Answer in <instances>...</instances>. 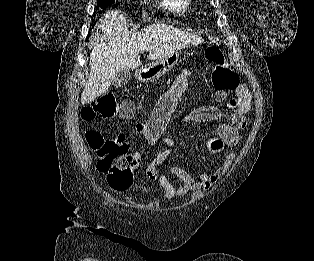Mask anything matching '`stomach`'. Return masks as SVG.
Returning <instances> with one entry per match:
<instances>
[{"mask_svg": "<svg viewBox=\"0 0 314 261\" xmlns=\"http://www.w3.org/2000/svg\"><path fill=\"white\" fill-rule=\"evenodd\" d=\"M179 55L180 51H176L141 67L135 73L136 79L142 83H152L157 81L177 64Z\"/></svg>", "mask_w": 314, "mask_h": 261, "instance_id": "stomach-1", "label": "stomach"}]
</instances>
